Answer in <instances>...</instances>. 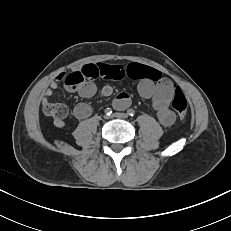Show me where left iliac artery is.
<instances>
[{
    "label": "left iliac artery",
    "instance_id": "left-iliac-artery-1",
    "mask_svg": "<svg viewBox=\"0 0 231 231\" xmlns=\"http://www.w3.org/2000/svg\"><path fill=\"white\" fill-rule=\"evenodd\" d=\"M127 114H128L129 116H134V115H135V111H134L133 109H128V110H127Z\"/></svg>",
    "mask_w": 231,
    "mask_h": 231
}]
</instances>
